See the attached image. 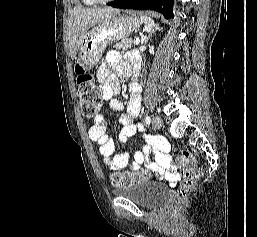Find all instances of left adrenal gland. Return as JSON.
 Listing matches in <instances>:
<instances>
[{"instance_id":"a2214340","label":"left adrenal gland","mask_w":257,"mask_h":237,"mask_svg":"<svg viewBox=\"0 0 257 237\" xmlns=\"http://www.w3.org/2000/svg\"><path fill=\"white\" fill-rule=\"evenodd\" d=\"M154 28H155V29L152 30V33L155 32V31H157V30H160L159 25H156V24H155ZM152 33H150L148 36H143V37H142V43L147 44V42H148V40L150 39Z\"/></svg>"}]
</instances>
